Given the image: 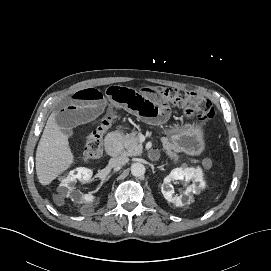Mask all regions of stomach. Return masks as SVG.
<instances>
[{"mask_svg":"<svg viewBox=\"0 0 271 271\" xmlns=\"http://www.w3.org/2000/svg\"><path fill=\"white\" fill-rule=\"evenodd\" d=\"M171 142L178 151L192 156L200 155L205 148L203 129L197 124L175 127L171 135Z\"/></svg>","mask_w":271,"mask_h":271,"instance_id":"obj_1","label":"stomach"}]
</instances>
